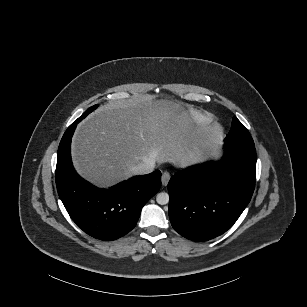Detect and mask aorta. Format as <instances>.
Returning a JSON list of instances; mask_svg holds the SVG:
<instances>
[{"mask_svg": "<svg viewBox=\"0 0 307 307\" xmlns=\"http://www.w3.org/2000/svg\"><path fill=\"white\" fill-rule=\"evenodd\" d=\"M156 201L160 205H165L169 202V195L165 192L158 193L156 196Z\"/></svg>", "mask_w": 307, "mask_h": 307, "instance_id": "1", "label": "aorta"}]
</instances>
